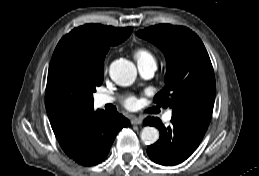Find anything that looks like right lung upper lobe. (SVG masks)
I'll list each match as a JSON object with an SVG mask.
<instances>
[{
	"instance_id": "1",
	"label": "right lung upper lobe",
	"mask_w": 259,
	"mask_h": 176,
	"mask_svg": "<svg viewBox=\"0 0 259 176\" xmlns=\"http://www.w3.org/2000/svg\"><path fill=\"white\" fill-rule=\"evenodd\" d=\"M131 32V27L86 24L74 28L59 41L50 62L45 91L46 111L56 138L94 112L93 92L84 80L83 69L104 65V53L111 45L127 39ZM77 48L84 53L83 64L75 58Z\"/></svg>"
}]
</instances>
